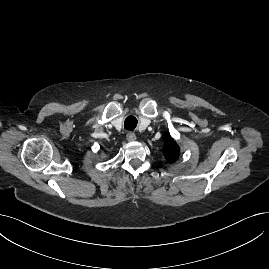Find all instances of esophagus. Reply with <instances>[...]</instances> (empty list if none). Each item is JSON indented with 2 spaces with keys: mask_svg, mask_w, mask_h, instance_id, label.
<instances>
[{
  "mask_svg": "<svg viewBox=\"0 0 269 269\" xmlns=\"http://www.w3.org/2000/svg\"><path fill=\"white\" fill-rule=\"evenodd\" d=\"M126 137L129 142H133L136 140V135L133 132H129Z\"/></svg>",
  "mask_w": 269,
  "mask_h": 269,
  "instance_id": "obj_1",
  "label": "esophagus"
}]
</instances>
